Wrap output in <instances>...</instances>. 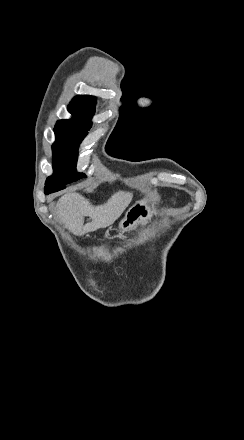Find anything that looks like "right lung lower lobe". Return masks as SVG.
Listing matches in <instances>:
<instances>
[{"mask_svg": "<svg viewBox=\"0 0 244 440\" xmlns=\"http://www.w3.org/2000/svg\"><path fill=\"white\" fill-rule=\"evenodd\" d=\"M65 187H66V184H49V185H45L44 191H45V194L47 195V194L62 190Z\"/></svg>", "mask_w": 244, "mask_h": 440, "instance_id": "1", "label": "right lung lower lobe"}]
</instances>
